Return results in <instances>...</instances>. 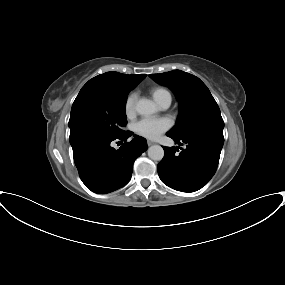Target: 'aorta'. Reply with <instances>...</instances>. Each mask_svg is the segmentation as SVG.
<instances>
[{
	"label": "aorta",
	"mask_w": 285,
	"mask_h": 285,
	"mask_svg": "<svg viewBox=\"0 0 285 285\" xmlns=\"http://www.w3.org/2000/svg\"><path fill=\"white\" fill-rule=\"evenodd\" d=\"M135 109L137 113L144 116H150L157 111L155 103L145 98L136 103ZM148 156L154 161H160L164 157V150L160 145H153L148 148Z\"/></svg>",
	"instance_id": "762f6f07"
}]
</instances>
